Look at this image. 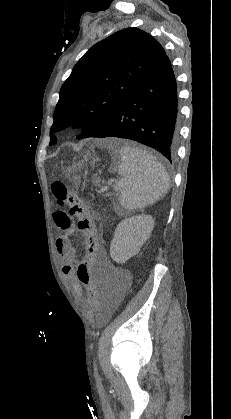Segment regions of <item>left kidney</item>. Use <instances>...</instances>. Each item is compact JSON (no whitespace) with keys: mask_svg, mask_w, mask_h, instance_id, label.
<instances>
[{"mask_svg":"<svg viewBox=\"0 0 231 419\" xmlns=\"http://www.w3.org/2000/svg\"><path fill=\"white\" fill-rule=\"evenodd\" d=\"M154 224L152 216L144 214L122 220L116 227L110 245L113 261L123 264L135 256L149 239Z\"/></svg>","mask_w":231,"mask_h":419,"instance_id":"1","label":"left kidney"}]
</instances>
